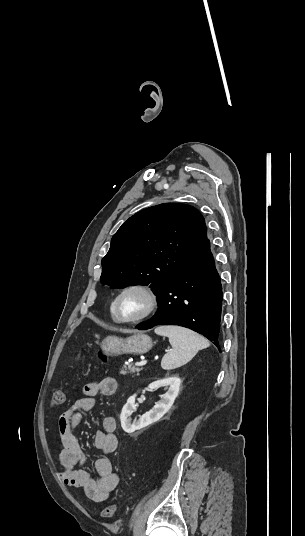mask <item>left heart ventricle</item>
<instances>
[{
    "instance_id": "obj_1",
    "label": "left heart ventricle",
    "mask_w": 305,
    "mask_h": 536,
    "mask_svg": "<svg viewBox=\"0 0 305 536\" xmlns=\"http://www.w3.org/2000/svg\"><path fill=\"white\" fill-rule=\"evenodd\" d=\"M148 307L146 294L138 289L125 292L119 301V314L123 319H133L141 316Z\"/></svg>"
}]
</instances>
